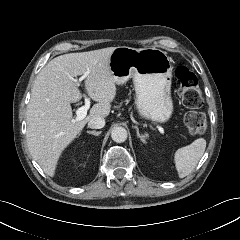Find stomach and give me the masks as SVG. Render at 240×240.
<instances>
[{"label":"stomach","mask_w":240,"mask_h":240,"mask_svg":"<svg viewBox=\"0 0 240 240\" xmlns=\"http://www.w3.org/2000/svg\"><path fill=\"white\" fill-rule=\"evenodd\" d=\"M109 68L117 84L133 79L135 105L139 114L163 123L172 115L171 58L157 48L116 47L109 58Z\"/></svg>","instance_id":"1"}]
</instances>
